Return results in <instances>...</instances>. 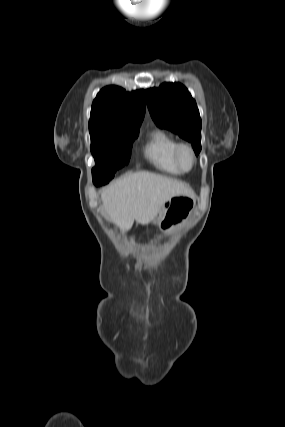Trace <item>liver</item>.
<instances>
[{
    "mask_svg": "<svg viewBox=\"0 0 285 427\" xmlns=\"http://www.w3.org/2000/svg\"><path fill=\"white\" fill-rule=\"evenodd\" d=\"M193 198L186 184L150 172H137L116 180L101 193L103 210L122 232L134 221L141 225L152 222L166 202L174 196Z\"/></svg>",
    "mask_w": 285,
    "mask_h": 427,
    "instance_id": "1",
    "label": "liver"
}]
</instances>
